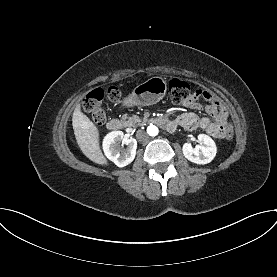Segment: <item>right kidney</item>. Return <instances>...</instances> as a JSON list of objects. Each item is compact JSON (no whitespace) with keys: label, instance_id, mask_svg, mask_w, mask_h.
Returning <instances> with one entry per match:
<instances>
[{"label":"right kidney","instance_id":"right-kidney-1","mask_svg":"<svg viewBox=\"0 0 277 277\" xmlns=\"http://www.w3.org/2000/svg\"><path fill=\"white\" fill-rule=\"evenodd\" d=\"M124 142L127 148L120 150V143ZM137 141L134 138H126L122 131H113L107 134L103 140V150L106 157L113 161L118 167L130 164L135 156Z\"/></svg>","mask_w":277,"mask_h":277}]
</instances>
